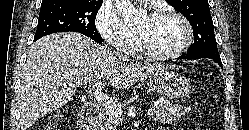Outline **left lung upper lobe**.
Wrapping results in <instances>:
<instances>
[{
    "label": "left lung upper lobe",
    "instance_id": "1",
    "mask_svg": "<svg viewBox=\"0 0 249 130\" xmlns=\"http://www.w3.org/2000/svg\"><path fill=\"white\" fill-rule=\"evenodd\" d=\"M191 23L194 43L188 48L187 55L219 57L213 21L208 0H167Z\"/></svg>",
    "mask_w": 249,
    "mask_h": 130
}]
</instances>
